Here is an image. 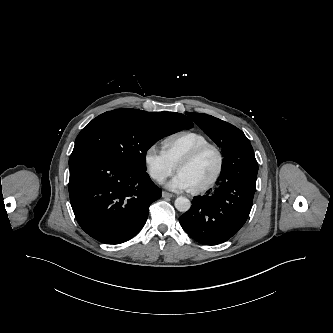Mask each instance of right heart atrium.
<instances>
[{"mask_svg":"<svg viewBox=\"0 0 333 333\" xmlns=\"http://www.w3.org/2000/svg\"><path fill=\"white\" fill-rule=\"evenodd\" d=\"M144 164L147 173L157 183H163L170 177L176 166L156 145H150L144 152Z\"/></svg>","mask_w":333,"mask_h":333,"instance_id":"right-heart-atrium-1","label":"right heart atrium"}]
</instances>
